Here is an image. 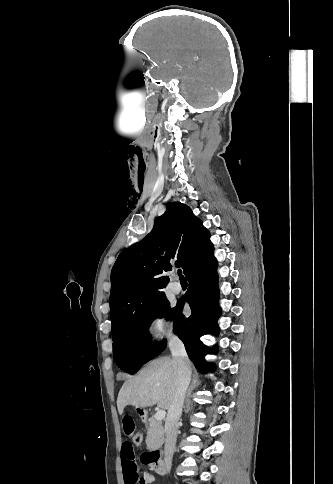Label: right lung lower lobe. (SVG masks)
<instances>
[{"mask_svg": "<svg viewBox=\"0 0 333 484\" xmlns=\"http://www.w3.org/2000/svg\"><path fill=\"white\" fill-rule=\"evenodd\" d=\"M216 259L211 255L187 277L189 288L185 295L189 303L192 314L185 317L182 314L184 302L178 304V310L174 318V332L183 341L189 358L195 367L202 371H213L215 368L205 362L206 353H216L217 347L207 348L201 341L200 337L211 333L217 335L219 330L216 324L220 316L218 306L219 288L218 276L216 273ZM166 347V341L163 340L156 356Z\"/></svg>", "mask_w": 333, "mask_h": 484, "instance_id": "right-lung-lower-lobe-1", "label": "right lung lower lobe"}]
</instances>
